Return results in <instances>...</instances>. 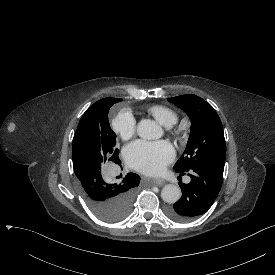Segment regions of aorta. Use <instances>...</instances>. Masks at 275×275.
Wrapping results in <instances>:
<instances>
[{
	"mask_svg": "<svg viewBox=\"0 0 275 275\" xmlns=\"http://www.w3.org/2000/svg\"><path fill=\"white\" fill-rule=\"evenodd\" d=\"M137 134L145 140L159 139L163 135V129L150 119H142L137 125ZM162 199L167 203H175L181 197V190L174 184H167L161 191Z\"/></svg>",
	"mask_w": 275,
	"mask_h": 275,
	"instance_id": "aorta-1",
	"label": "aorta"
}]
</instances>
